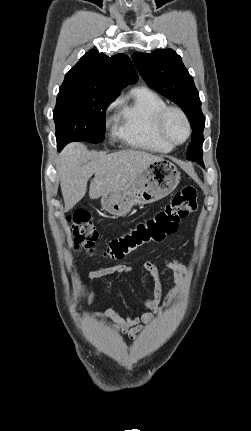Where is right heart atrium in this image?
Returning <instances> with one entry per match:
<instances>
[{
    "label": "right heart atrium",
    "instance_id": "obj_1",
    "mask_svg": "<svg viewBox=\"0 0 251 431\" xmlns=\"http://www.w3.org/2000/svg\"><path fill=\"white\" fill-rule=\"evenodd\" d=\"M115 106H116V102H112L111 104H109L107 110H112Z\"/></svg>",
    "mask_w": 251,
    "mask_h": 431
}]
</instances>
